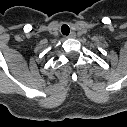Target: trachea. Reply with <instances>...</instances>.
I'll return each instance as SVG.
<instances>
[{
    "mask_svg": "<svg viewBox=\"0 0 127 127\" xmlns=\"http://www.w3.org/2000/svg\"><path fill=\"white\" fill-rule=\"evenodd\" d=\"M61 32H62L63 35H69V33H70L69 26L66 25V24L62 25Z\"/></svg>",
    "mask_w": 127,
    "mask_h": 127,
    "instance_id": "trachea-1",
    "label": "trachea"
}]
</instances>
